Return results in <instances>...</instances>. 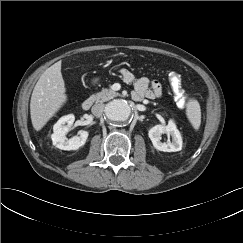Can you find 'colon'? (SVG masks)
I'll list each match as a JSON object with an SVG mask.
<instances>
[{"label":"colon","instance_id":"obj_1","mask_svg":"<svg viewBox=\"0 0 243 243\" xmlns=\"http://www.w3.org/2000/svg\"><path fill=\"white\" fill-rule=\"evenodd\" d=\"M168 79L177 98L184 102L186 97L184 90L182 89L181 75L173 70H170L168 73Z\"/></svg>","mask_w":243,"mask_h":243}]
</instances>
